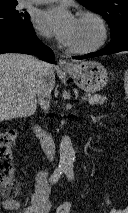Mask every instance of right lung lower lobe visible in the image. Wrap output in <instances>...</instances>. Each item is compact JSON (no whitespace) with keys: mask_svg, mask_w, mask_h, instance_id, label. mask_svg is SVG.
<instances>
[{"mask_svg":"<svg viewBox=\"0 0 128 213\" xmlns=\"http://www.w3.org/2000/svg\"><path fill=\"white\" fill-rule=\"evenodd\" d=\"M9 52L35 54L46 61H55L54 53L37 38L31 24L11 29L0 28V54Z\"/></svg>","mask_w":128,"mask_h":213,"instance_id":"98d812e1","label":"right lung lower lobe"}]
</instances>
